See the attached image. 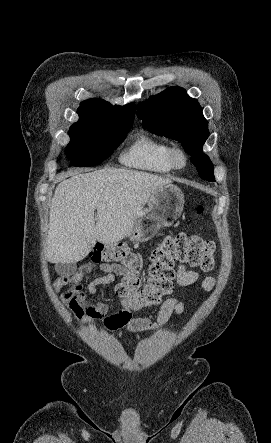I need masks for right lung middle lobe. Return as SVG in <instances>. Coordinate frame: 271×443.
<instances>
[{
    "instance_id": "1",
    "label": "right lung middle lobe",
    "mask_w": 271,
    "mask_h": 443,
    "mask_svg": "<svg viewBox=\"0 0 271 443\" xmlns=\"http://www.w3.org/2000/svg\"><path fill=\"white\" fill-rule=\"evenodd\" d=\"M133 119L90 118L73 124L69 130L70 143L66 154L71 166H95L123 142Z\"/></svg>"
}]
</instances>
